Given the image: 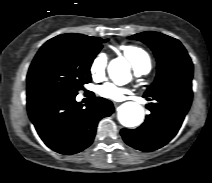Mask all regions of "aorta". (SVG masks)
I'll return each instance as SVG.
<instances>
[{"mask_svg": "<svg viewBox=\"0 0 212 183\" xmlns=\"http://www.w3.org/2000/svg\"><path fill=\"white\" fill-rule=\"evenodd\" d=\"M128 71L129 63L124 58H116L108 66V72L112 79H115L118 74ZM118 119L125 127H136L143 122L144 110L136 102H126L119 107Z\"/></svg>", "mask_w": 212, "mask_h": 183, "instance_id": "1", "label": "aorta"}]
</instances>
